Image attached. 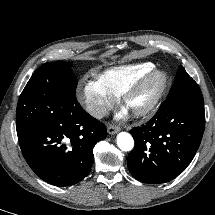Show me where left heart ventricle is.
<instances>
[{"mask_svg": "<svg viewBox=\"0 0 215 215\" xmlns=\"http://www.w3.org/2000/svg\"><path fill=\"white\" fill-rule=\"evenodd\" d=\"M159 83H160L159 79L155 78L151 80L148 84H146L130 99L128 108L131 110L139 109L148 104V102L152 99L153 95L155 94L159 86Z\"/></svg>", "mask_w": 215, "mask_h": 215, "instance_id": "left-heart-ventricle-1", "label": "left heart ventricle"}]
</instances>
